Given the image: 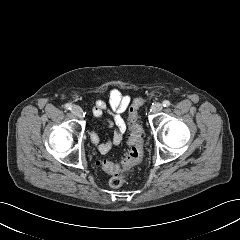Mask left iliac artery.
I'll return each instance as SVG.
<instances>
[{
    "label": "left iliac artery",
    "instance_id": "left-iliac-artery-1",
    "mask_svg": "<svg viewBox=\"0 0 240 240\" xmlns=\"http://www.w3.org/2000/svg\"><path fill=\"white\" fill-rule=\"evenodd\" d=\"M162 103L164 107H169L171 105L170 101L168 100H164Z\"/></svg>",
    "mask_w": 240,
    "mask_h": 240
}]
</instances>
